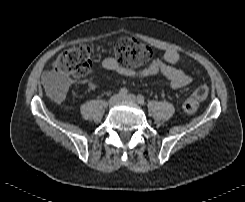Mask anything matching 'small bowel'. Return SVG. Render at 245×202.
Here are the masks:
<instances>
[{"instance_id":"1","label":"small bowel","mask_w":245,"mask_h":202,"mask_svg":"<svg viewBox=\"0 0 245 202\" xmlns=\"http://www.w3.org/2000/svg\"><path fill=\"white\" fill-rule=\"evenodd\" d=\"M180 59V54L169 49L162 57H156L148 65L139 68H130L121 65L113 56H108L103 59L102 66L108 71L117 73L118 75L128 79H146L156 75L165 77L172 89H181L191 84L192 79L183 70L177 68L174 64ZM45 84H54L55 90L62 94L65 92L67 85L57 79L53 72H45L43 75ZM89 87H96V79H92L85 83ZM72 88L74 83H70Z\"/></svg>"}]
</instances>
